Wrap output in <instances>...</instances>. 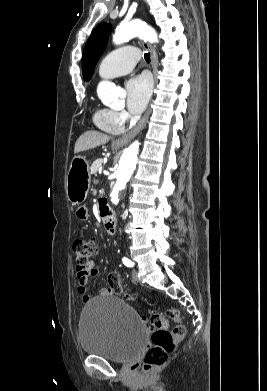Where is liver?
Listing matches in <instances>:
<instances>
[{"label":"liver","instance_id":"obj_1","mask_svg":"<svg viewBox=\"0 0 267 391\" xmlns=\"http://www.w3.org/2000/svg\"><path fill=\"white\" fill-rule=\"evenodd\" d=\"M111 137L107 134L98 132V131H87L83 133L75 143L74 153L87 151L94 149L98 146L104 145Z\"/></svg>","mask_w":267,"mask_h":391}]
</instances>
